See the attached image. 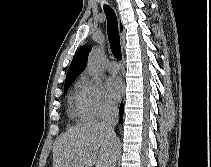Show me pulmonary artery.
<instances>
[{"instance_id":"obj_1","label":"pulmonary artery","mask_w":211,"mask_h":167,"mask_svg":"<svg viewBox=\"0 0 211 167\" xmlns=\"http://www.w3.org/2000/svg\"><path fill=\"white\" fill-rule=\"evenodd\" d=\"M107 70L111 74H117L119 72V66L116 62L112 61L108 64Z\"/></svg>"}]
</instances>
